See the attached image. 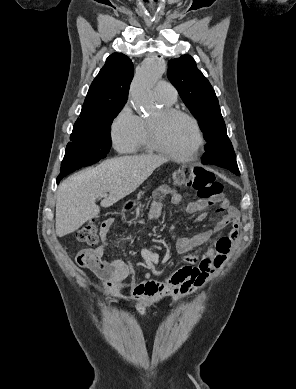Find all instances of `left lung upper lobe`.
<instances>
[{
    "label": "left lung upper lobe",
    "mask_w": 296,
    "mask_h": 389,
    "mask_svg": "<svg viewBox=\"0 0 296 389\" xmlns=\"http://www.w3.org/2000/svg\"><path fill=\"white\" fill-rule=\"evenodd\" d=\"M167 76L177 88L187 108L199 121L207 141L204 150L226 131L215 91L207 78L197 69L190 55L168 61Z\"/></svg>",
    "instance_id": "1"
}]
</instances>
